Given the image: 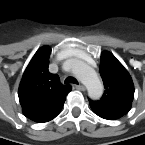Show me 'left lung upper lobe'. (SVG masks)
I'll return each instance as SVG.
<instances>
[{
    "mask_svg": "<svg viewBox=\"0 0 145 145\" xmlns=\"http://www.w3.org/2000/svg\"><path fill=\"white\" fill-rule=\"evenodd\" d=\"M105 92L99 101L89 100L92 110L100 117L115 120L131 108L134 98L132 79L123 65L110 53L103 52L100 61Z\"/></svg>",
    "mask_w": 145,
    "mask_h": 145,
    "instance_id": "5c2ea615",
    "label": "left lung upper lobe"
}]
</instances>
